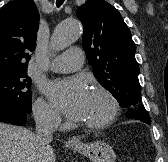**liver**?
Returning <instances> with one entry per match:
<instances>
[{
    "mask_svg": "<svg viewBox=\"0 0 168 162\" xmlns=\"http://www.w3.org/2000/svg\"><path fill=\"white\" fill-rule=\"evenodd\" d=\"M49 143L40 145L30 130L0 123V162H55Z\"/></svg>",
    "mask_w": 168,
    "mask_h": 162,
    "instance_id": "6515ba94",
    "label": "liver"
}]
</instances>
